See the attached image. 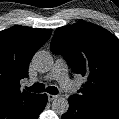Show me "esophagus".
Instances as JSON below:
<instances>
[{"label": "esophagus", "mask_w": 119, "mask_h": 119, "mask_svg": "<svg viewBox=\"0 0 119 119\" xmlns=\"http://www.w3.org/2000/svg\"><path fill=\"white\" fill-rule=\"evenodd\" d=\"M57 97H58L57 95L48 94V101H52L56 99Z\"/></svg>", "instance_id": "obj_1"}]
</instances>
